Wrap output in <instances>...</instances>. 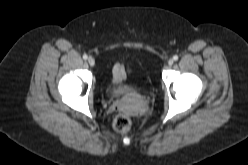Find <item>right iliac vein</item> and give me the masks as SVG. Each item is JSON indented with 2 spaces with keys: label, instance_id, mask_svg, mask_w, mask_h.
Returning <instances> with one entry per match:
<instances>
[{
  "label": "right iliac vein",
  "instance_id": "1",
  "mask_svg": "<svg viewBox=\"0 0 248 165\" xmlns=\"http://www.w3.org/2000/svg\"><path fill=\"white\" fill-rule=\"evenodd\" d=\"M88 63H89V65L94 66V65H95V60H94V58H93V57H89V58H88Z\"/></svg>",
  "mask_w": 248,
  "mask_h": 165
}]
</instances>
